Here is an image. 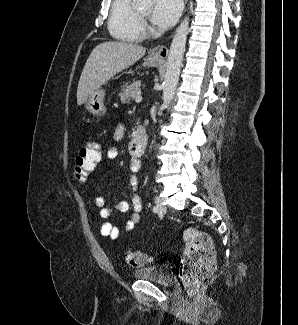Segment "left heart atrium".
I'll use <instances>...</instances> for the list:
<instances>
[{
  "instance_id": "obj_1",
  "label": "left heart atrium",
  "mask_w": 298,
  "mask_h": 325,
  "mask_svg": "<svg viewBox=\"0 0 298 325\" xmlns=\"http://www.w3.org/2000/svg\"><path fill=\"white\" fill-rule=\"evenodd\" d=\"M182 9L180 0H154L150 12L151 22L160 29L172 27Z\"/></svg>"
}]
</instances>
